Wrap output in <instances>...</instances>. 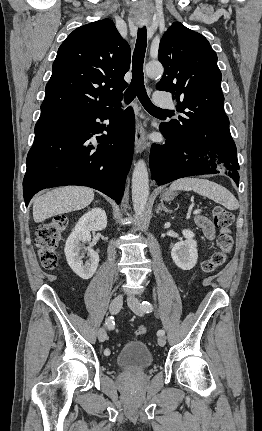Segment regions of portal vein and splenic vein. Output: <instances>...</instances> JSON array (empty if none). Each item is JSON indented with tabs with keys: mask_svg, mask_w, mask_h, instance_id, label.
I'll return each instance as SVG.
<instances>
[{
	"mask_svg": "<svg viewBox=\"0 0 262 431\" xmlns=\"http://www.w3.org/2000/svg\"><path fill=\"white\" fill-rule=\"evenodd\" d=\"M200 212H201V210H199V209L193 211L194 214H198Z\"/></svg>",
	"mask_w": 262,
	"mask_h": 431,
	"instance_id": "obj_1",
	"label": "portal vein and splenic vein"
}]
</instances>
